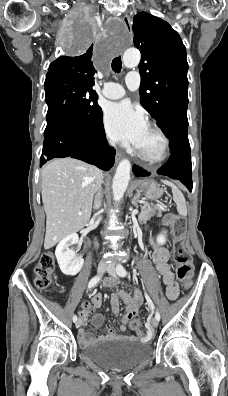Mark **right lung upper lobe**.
Returning <instances> with one entry per match:
<instances>
[{
	"label": "right lung upper lobe",
	"instance_id": "1",
	"mask_svg": "<svg viewBox=\"0 0 228 396\" xmlns=\"http://www.w3.org/2000/svg\"><path fill=\"white\" fill-rule=\"evenodd\" d=\"M96 72L92 62V46L79 56H61L53 61L46 75V79L72 78L88 85H94V73Z\"/></svg>",
	"mask_w": 228,
	"mask_h": 396
}]
</instances>
